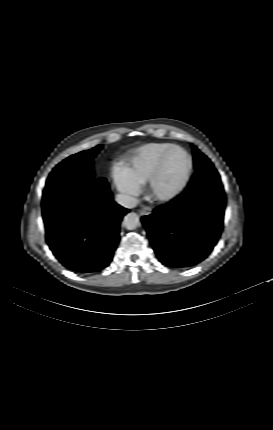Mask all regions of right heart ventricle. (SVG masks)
Instances as JSON below:
<instances>
[{
	"label": "right heart ventricle",
	"instance_id": "e07e8e85",
	"mask_svg": "<svg viewBox=\"0 0 273 430\" xmlns=\"http://www.w3.org/2000/svg\"><path fill=\"white\" fill-rule=\"evenodd\" d=\"M172 145L167 142H154L139 147L124 162L127 175L138 186L143 185L148 181L161 154Z\"/></svg>",
	"mask_w": 273,
	"mask_h": 430
}]
</instances>
